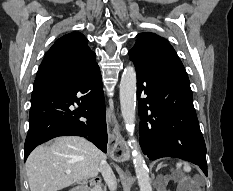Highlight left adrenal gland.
I'll return each mask as SVG.
<instances>
[{
	"label": "left adrenal gland",
	"instance_id": "obj_1",
	"mask_svg": "<svg viewBox=\"0 0 233 191\" xmlns=\"http://www.w3.org/2000/svg\"><path fill=\"white\" fill-rule=\"evenodd\" d=\"M159 168H161V164L157 167L156 171H158Z\"/></svg>",
	"mask_w": 233,
	"mask_h": 191
}]
</instances>
